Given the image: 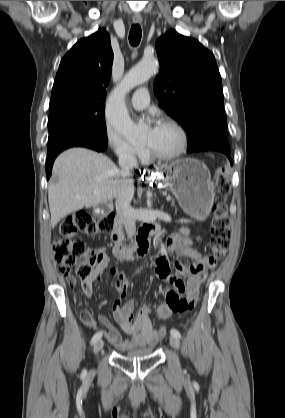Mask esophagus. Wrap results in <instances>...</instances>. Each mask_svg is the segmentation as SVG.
Returning a JSON list of instances; mask_svg holds the SVG:
<instances>
[{
    "label": "esophagus",
    "instance_id": "esophagus-1",
    "mask_svg": "<svg viewBox=\"0 0 285 418\" xmlns=\"http://www.w3.org/2000/svg\"><path fill=\"white\" fill-rule=\"evenodd\" d=\"M133 22L136 24H140L142 22V16L139 14H135L133 16Z\"/></svg>",
    "mask_w": 285,
    "mask_h": 418
}]
</instances>
